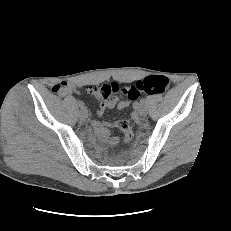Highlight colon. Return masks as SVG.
I'll list each match as a JSON object with an SVG mask.
<instances>
[{
	"label": "colon",
	"instance_id": "5ec220e1",
	"mask_svg": "<svg viewBox=\"0 0 231 231\" xmlns=\"http://www.w3.org/2000/svg\"><path fill=\"white\" fill-rule=\"evenodd\" d=\"M169 86V80L165 76L152 75L144 78L143 80L136 81L130 86L120 87L117 84L105 85L102 87L103 97H108L121 92L128 99L134 100L142 93L149 95L163 94ZM64 89V84L55 85L53 90L60 92ZM118 127L123 135V143L128 144L133 139L132 122L124 120L118 123Z\"/></svg>",
	"mask_w": 231,
	"mask_h": 231
}]
</instances>
